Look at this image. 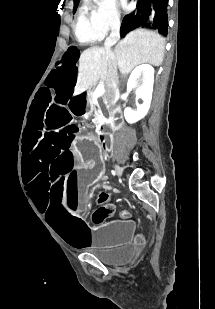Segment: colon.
<instances>
[{
  "mask_svg": "<svg viewBox=\"0 0 215 309\" xmlns=\"http://www.w3.org/2000/svg\"><path fill=\"white\" fill-rule=\"evenodd\" d=\"M114 209H115L114 204L108 202L104 207L100 209L99 214L97 216V220H100L106 216H112L114 213Z\"/></svg>",
  "mask_w": 215,
  "mask_h": 309,
  "instance_id": "5ec220e1",
  "label": "colon"
}]
</instances>
